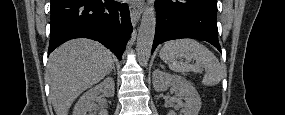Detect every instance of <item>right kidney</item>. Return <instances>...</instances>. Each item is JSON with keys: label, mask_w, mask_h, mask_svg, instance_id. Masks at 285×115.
<instances>
[{"label": "right kidney", "mask_w": 285, "mask_h": 115, "mask_svg": "<svg viewBox=\"0 0 285 115\" xmlns=\"http://www.w3.org/2000/svg\"><path fill=\"white\" fill-rule=\"evenodd\" d=\"M114 79L111 77L106 78L100 84L85 92L78 100L74 107L73 115H87L91 114L93 110V102L97 95L103 94L105 97L114 96ZM98 115H108L107 110L101 109Z\"/></svg>", "instance_id": "ca27d5eb"}]
</instances>
